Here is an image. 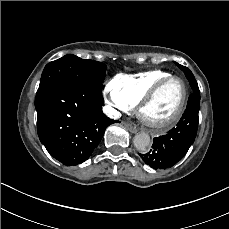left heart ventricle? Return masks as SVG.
I'll return each instance as SVG.
<instances>
[{"label":"left heart ventricle","mask_w":229,"mask_h":229,"mask_svg":"<svg viewBox=\"0 0 229 229\" xmlns=\"http://www.w3.org/2000/svg\"><path fill=\"white\" fill-rule=\"evenodd\" d=\"M185 100V87L181 80L162 86L146 104L145 111L150 120L163 123L174 118Z\"/></svg>","instance_id":"1"}]
</instances>
